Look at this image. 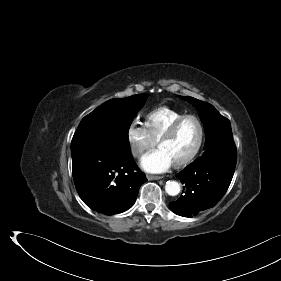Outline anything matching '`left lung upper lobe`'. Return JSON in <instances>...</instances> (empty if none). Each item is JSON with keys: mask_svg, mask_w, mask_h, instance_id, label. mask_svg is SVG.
<instances>
[{"mask_svg": "<svg viewBox=\"0 0 281 281\" xmlns=\"http://www.w3.org/2000/svg\"><path fill=\"white\" fill-rule=\"evenodd\" d=\"M182 98L188 100L200 110L206 133L204 154L236 153L230 121L223 117L211 104L188 96Z\"/></svg>", "mask_w": 281, "mask_h": 281, "instance_id": "5c2ea615", "label": "left lung upper lobe"}]
</instances>
